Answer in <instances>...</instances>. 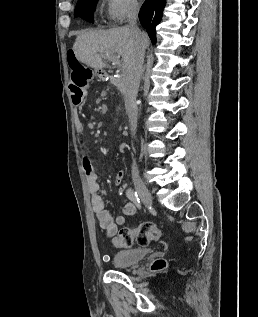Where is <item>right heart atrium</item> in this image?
Wrapping results in <instances>:
<instances>
[{"label":"right heart atrium","mask_w":258,"mask_h":317,"mask_svg":"<svg viewBox=\"0 0 258 317\" xmlns=\"http://www.w3.org/2000/svg\"><path fill=\"white\" fill-rule=\"evenodd\" d=\"M137 9L135 0H108L104 9L109 26H121Z\"/></svg>","instance_id":"right-heart-atrium-1"}]
</instances>
